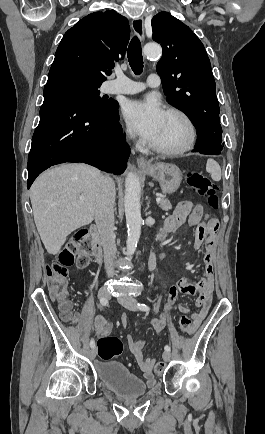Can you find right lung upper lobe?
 <instances>
[{"mask_svg":"<svg viewBox=\"0 0 265 434\" xmlns=\"http://www.w3.org/2000/svg\"><path fill=\"white\" fill-rule=\"evenodd\" d=\"M129 38L127 18L114 10L91 13L64 34L48 76L72 74L103 82L114 61L125 55Z\"/></svg>","mask_w":265,"mask_h":434,"instance_id":"1","label":"right lung upper lobe"}]
</instances>
